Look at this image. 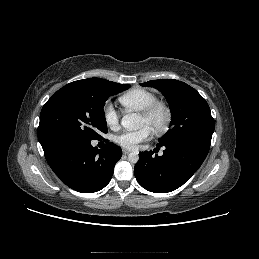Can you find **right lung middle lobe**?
Returning a JSON list of instances; mask_svg holds the SVG:
<instances>
[{
  "label": "right lung middle lobe",
  "mask_w": 259,
  "mask_h": 259,
  "mask_svg": "<svg viewBox=\"0 0 259 259\" xmlns=\"http://www.w3.org/2000/svg\"><path fill=\"white\" fill-rule=\"evenodd\" d=\"M130 85L105 80L101 83L65 85L43 106L37 130L40 143L59 136L99 139L107 132L104 114L105 101Z\"/></svg>",
  "instance_id": "right-lung-middle-lobe-1"
}]
</instances>
